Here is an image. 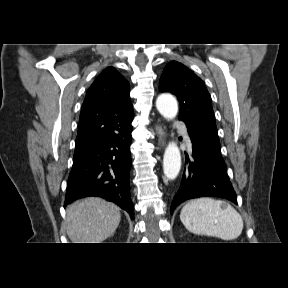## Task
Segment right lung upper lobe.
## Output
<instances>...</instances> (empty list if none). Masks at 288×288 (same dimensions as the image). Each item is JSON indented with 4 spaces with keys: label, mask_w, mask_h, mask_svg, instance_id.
<instances>
[{
    "label": "right lung upper lobe",
    "mask_w": 288,
    "mask_h": 288,
    "mask_svg": "<svg viewBox=\"0 0 288 288\" xmlns=\"http://www.w3.org/2000/svg\"><path fill=\"white\" fill-rule=\"evenodd\" d=\"M129 93L128 81L113 67L96 78L82 105L74 156L131 126L133 108Z\"/></svg>",
    "instance_id": "obj_1"
}]
</instances>
